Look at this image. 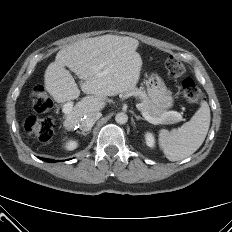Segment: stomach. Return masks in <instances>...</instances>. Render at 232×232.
Listing matches in <instances>:
<instances>
[{"mask_svg":"<svg viewBox=\"0 0 232 232\" xmlns=\"http://www.w3.org/2000/svg\"><path fill=\"white\" fill-rule=\"evenodd\" d=\"M147 91L153 103L158 105L162 110H167L173 106L174 99L165 83L161 79L148 81Z\"/></svg>","mask_w":232,"mask_h":232,"instance_id":"stomach-1","label":"stomach"}]
</instances>
